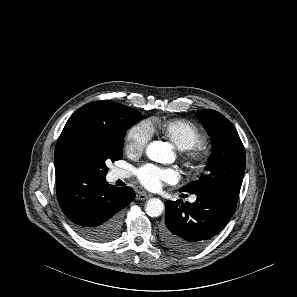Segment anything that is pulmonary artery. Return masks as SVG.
<instances>
[{
    "label": "pulmonary artery",
    "mask_w": 297,
    "mask_h": 297,
    "mask_svg": "<svg viewBox=\"0 0 297 297\" xmlns=\"http://www.w3.org/2000/svg\"><path fill=\"white\" fill-rule=\"evenodd\" d=\"M111 175L113 180L124 179L127 177V174L121 170H114L112 171ZM195 200H196V197L191 198V202H194Z\"/></svg>",
    "instance_id": "e3ab8cb5"
}]
</instances>
